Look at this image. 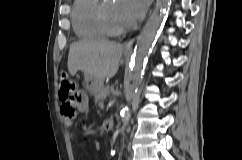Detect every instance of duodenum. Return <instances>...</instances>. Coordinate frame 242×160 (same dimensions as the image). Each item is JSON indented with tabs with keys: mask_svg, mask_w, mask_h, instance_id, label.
Masks as SVG:
<instances>
[{
	"mask_svg": "<svg viewBox=\"0 0 242 160\" xmlns=\"http://www.w3.org/2000/svg\"><path fill=\"white\" fill-rule=\"evenodd\" d=\"M114 126V122L112 119H106L104 122H103V129L105 131H110Z\"/></svg>",
	"mask_w": 242,
	"mask_h": 160,
	"instance_id": "410a0bca",
	"label": "duodenum"
}]
</instances>
